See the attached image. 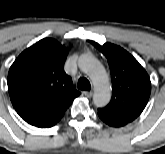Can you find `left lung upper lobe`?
Here are the masks:
<instances>
[{
	"mask_svg": "<svg viewBox=\"0 0 165 154\" xmlns=\"http://www.w3.org/2000/svg\"><path fill=\"white\" fill-rule=\"evenodd\" d=\"M89 42L107 58L112 80L110 103L98 114L129 123L144 110L150 96L151 83L145 69L123 48L105 43Z\"/></svg>",
	"mask_w": 165,
	"mask_h": 154,
	"instance_id": "left-lung-upper-lobe-1",
	"label": "left lung upper lobe"
}]
</instances>
